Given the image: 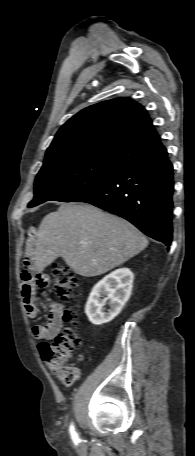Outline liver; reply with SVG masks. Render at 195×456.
I'll use <instances>...</instances> for the list:
<instances>
[{"label": "liver", "mask_w": 195, "mask_h": 456, "mask_svg": "<svg viewBox=\"0 0 195 456\" xmlns=\"http://www.w3.org/2000/svg\"><path fill=\"white\" fill-rule=\"evenodd\" d=\"M147 238L131 223L89 204L68 203L46 215L37 232L35 266L61 256L84 277L104 274L140 253Z\"/></svg>", "instance_id": "obj_1"}]
</instances>
